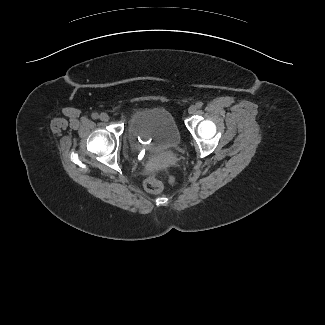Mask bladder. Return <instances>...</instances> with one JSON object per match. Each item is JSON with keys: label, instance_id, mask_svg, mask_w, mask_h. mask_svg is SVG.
I'll list each match as a JSON object with an SVG mask.
<instances>
[{"label": "bladder", "instance_id": "obj_1", "mask_svg": "<svg viewBox=\"0 0 325 325\" xmlns=\"http://www.w3.org/2000/svg\"><path fill=\"white\" fill-rule=\"evenodd\" d=\"M132 146L165 151L177 148L181 133L172 113L165 108H144L134 112L127 124Z\"/></svg>", "mask_w": 325, "mask_h": 325}]
</instances>
